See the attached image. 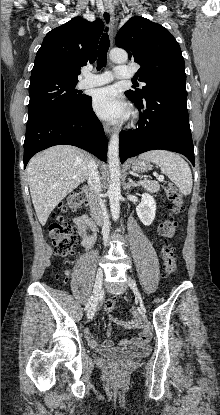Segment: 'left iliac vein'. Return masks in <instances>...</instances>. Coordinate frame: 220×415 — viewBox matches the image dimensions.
Wrapping results in <instances>:
<instances>
[{"label": "left iliac vein", "mask_w": 220, "mask_h": 415, "mask_svg": "<svg viewBox=\"0 0 220 415\" xmlns=\"http://www.w3.org/2000/svg\"><path fill=\"white\" fill-rule=\"evenodd\" d=\"M127 281H128L129 286L133 290L134 294L136 295L137 299L139 300L141 307H144L143 298H142V296H141V294H140V292H139V290H138L135 282L129 276H127Z\"/></svg>", "instance_id": "obj_1"}]
</instances>
